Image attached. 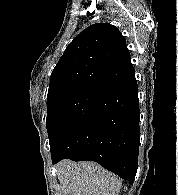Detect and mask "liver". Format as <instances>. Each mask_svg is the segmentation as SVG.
I'll list each match as a JSON object with an SVG mask.
<instances>
[{"instance_id": "1", "label": "liver", "mask_w": 178, "mask_h": 195, "mask_svg": "<svg viewBox=\"0 0 178 195\" xmlns=\"http://www.w3.org/2000/svg\"><path fill=\"white\" fill-rule=\"evenodd\" d=\"M59 195H118L120 178L95 162L64 160L57 166Z\"/></svg>"}]
</instances>
